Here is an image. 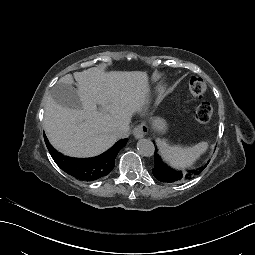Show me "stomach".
<instances>
[{"label":"stomach","mask_w":255,"mask_h":255,"mask_svg":"<svg viewBox=\"0 0 255 255\" xmlns=\"http://www.w3.org/2000/svg\"><path fill=\"white\" fill-rule=\"evenodd\" d=\"M144 127L146 126L144 125ZM152 128L158 132L164 133L167 129L165 120L159 117H154L152 119Z\"/></svg>","instance_id":"1"}]
</instances>
